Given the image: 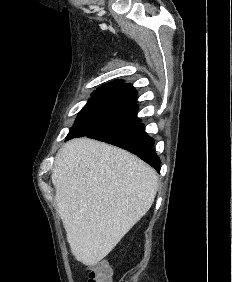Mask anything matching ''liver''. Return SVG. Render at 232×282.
Segmentation results:
<instances>
[{"label":"liver","mask_w":232,"mask_h":282,"mask_svg":"<svg viewBox=\"0 0 232 282\" xmlns=\"http://www.w3.org/2000/svg\"><path fill=\"white\" fill-rule=\"evenodd\" d=\"M52 184L71 252L77 261L92 266L150 209L158 176L125 150L78 138L57 153Z\"/></svg>","instance_id":"liver-1"}]
</instances>
